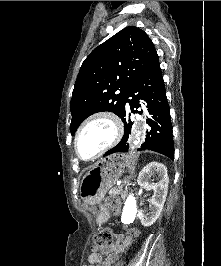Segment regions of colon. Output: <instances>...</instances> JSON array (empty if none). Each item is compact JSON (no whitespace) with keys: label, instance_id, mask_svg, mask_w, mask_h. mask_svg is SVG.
<instances>
[{"label":"colon","instance_id":"1","mask_svg":"<svg viewBox=\"0 0 221 266\" xmlns=\"http://www.w3.org/2000/svg\"><path fill=\"white\" fill-rule=\"evenodd\" d=\"M107 205L114 211L118 210V201L114 198L106 199ZM138 235V231L136 229H131L129 232L130 238H135ZM113 240V232L110 229H102L97 232L93 238V246L94 249L99 252L110 245Z\"/></svg>","mask_w":221,"mask_h":266}]
</instances>
